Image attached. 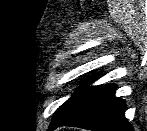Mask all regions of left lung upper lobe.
<instances>
[{"instance_id":"5c2ea615","label":"left lung upper lobe","mask_w":147,"mask_h":131,"mask_svg":"<svg viewBox=\"0 0 147 131\" xmlns=\"http://www.w3.org/2000/svg\"><path fill=\"white\" fill-rule=\"evenodd\" d=\"M89 81L86 84L82 85L76 93L73 94L64 104H62L55 115L52 118L51 125L49 129L55 126L56 124L64 122L70 116L75 114L89 99L90 97L102 86H88Z\"/></svg>"}]
</instances>
